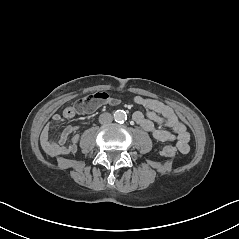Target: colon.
<instances>
[{
	"instance_id": "5ec220e1",
	"label": "colon",
	"mask_w": 239,
	"mask_h": 239,
	"mask_svg": "<svg viewBox=\"0 0 239 239\" xmlns=\"http://www.w3.org/2000/svg\"><path fill=\"white\" fill-rule=\"evenodd\" d=\"M114 102L115 99H113L106 92H96L94 94L84 97L76 106L70 107V113L75 114L81 109H94L101 105L112 104ZM163 153L167 157H174L176 154V150L172 146H165L163 148Z\"/></svg>"
}]
</instances>
